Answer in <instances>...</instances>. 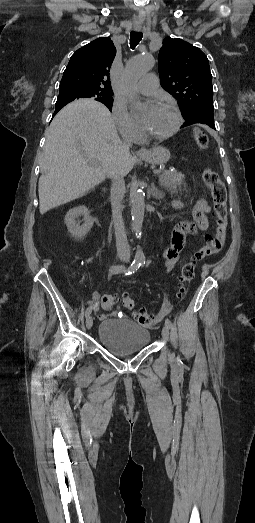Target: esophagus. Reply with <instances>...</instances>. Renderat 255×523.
I'll use <instances>...</instances> for the list:
<instances>
[{"instance_id":"esophagus-1","label":"esophagus","mask_w":255,"mask_h":523,"mask_svg":"<svg viewBox=\"0 0 255 523\" xmlns=\"http://www.w3.org/2000/svg\"><path fill=\"white\" fill-rule=\"evenodd\" d=\"M136 30H140V28H136ZM138 155H146L148 154V150L145 147L140 148V150L137 151Z\"/></svg>"}]
</instances>
